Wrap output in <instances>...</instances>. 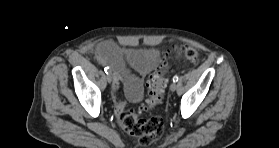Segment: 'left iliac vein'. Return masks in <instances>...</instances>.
Instances as JSON below:
<instances>
[{
  "label": "left iliac vein",
  "instance_id": "1",
  "mask_svg": "<svg viewBox=\"0 0 279 148\" xmlns=\"http://www.w3.org/2000/svg\"><path fill=\"white\" fill-rule=\"evenodd\" d=\"M176 88H177L176 83H175V82L171 83V85H170V90L173 92V91L176 90Z\"/></svg>",
  "mask_w": 279,
  "mask_h": 148
}]
</instances>
